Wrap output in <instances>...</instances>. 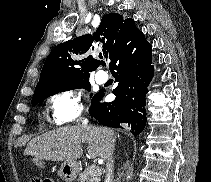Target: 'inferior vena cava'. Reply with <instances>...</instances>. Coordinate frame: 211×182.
Segmentation results:
<instances>
[{
	"label": "inferior vena cava",
	"mask_w": 211,
	"mask_h": 182,
	"mask_svg": "<svg viewBox=\"0 0 211 182\" xmlns=\"http://www.w3.org/2000/svg\"><path fill=\"white\" fill-rule=\"evenodd\" d=\"M87 120H84L82 123L83 127L88 126ZM105 134L106 130L105 129H95V134ZM103 159L106 160V179L105 182H112L113 180V155H112V150L109 148L106 150L105 154L103 155Z\"/></svg>",
	"instance_id": "1"
}]
</instances>
